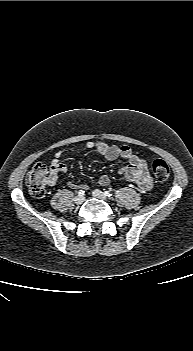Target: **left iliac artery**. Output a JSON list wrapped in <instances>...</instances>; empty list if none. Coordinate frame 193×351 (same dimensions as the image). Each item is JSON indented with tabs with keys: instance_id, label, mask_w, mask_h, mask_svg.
Returning a JSON list of instances; mask_svg holds the SVG:
<instances>
[{
	"instance_id": "1",
	"label": "left iliac artery",
	"mask_w": 193,
	"mask_h": 351,
	"mask_svg": "<svg viewBox=\"0 0 193 351\" xmlns=\"http://www.w3.org/2000/svg\"><path fill=\"white\" fill-rule=\"evenodd\" d=\"M105 195L110 197V196H112V193L110 191H105Z\"/></svg>"
}]
</instances>
